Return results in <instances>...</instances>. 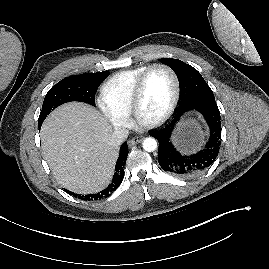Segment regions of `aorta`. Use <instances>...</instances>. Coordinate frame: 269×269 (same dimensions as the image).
Returning a JSON list of instances; mask_svg holds the SVG:
<instances>
[{
  "instance_id": "762f6f07",
  "label": "aorta",
  "mask_w": 269,
  "mask_h": 269,
  "mask_svg": "<svg viewBox=\"0 0 269 269\" xmlns=\"http://www.w3.org/2000/svg\"><path fill=\"white\" fill-rule=\"evenodd\" d=\"M143 149L147 152H153L157 148V141L152 137H147L144 139Z\"/></svg>"
}]
</instances>
